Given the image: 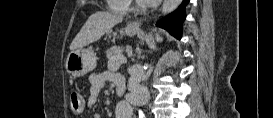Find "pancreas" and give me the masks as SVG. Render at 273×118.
Masks as SVG:
<instances>
[{"mask_svg":"<svg viewBox=\"0 0 273 118\" xmlns=\"http://www.w3.org/2000/svg\"><path fill=\"white\" fill-rule=\"evenodd\" d=\"M122 47L120 46H112L106 51V55L108 59H112L114 57H119L122 55Z\"/></svg>","mask_w":273,"mask_h":118,"instance_id":"cf45deb5","label":"pancreas"}]
</instances>
